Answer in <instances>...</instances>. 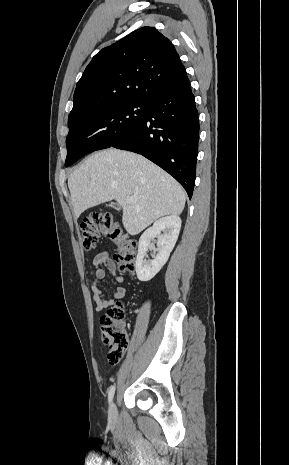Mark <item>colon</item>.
Returning <instances> with one entry per match:
<instances>
[{"label":"colon","mask_w":289,"mask_h":465,"mask_svg":"<svg viewBox=\"0 0 289 465\" xmlns=\"http://www.w3.org/2000/svg\"><path fill=\"white\" fill-rule=\"evenodd\" d=\"M81 242L85 249L98 245L100 235L116 247L115 261L121 272L133 274L136 267L137 243L127 235L109 213H92L81 223ZM125 312L121 303L107 311L100 319V336L108 347V359L117 363L125 353L129 337L122 321Z\"/></svg>","instance_id":"5ec220e1"}]
</instances>
